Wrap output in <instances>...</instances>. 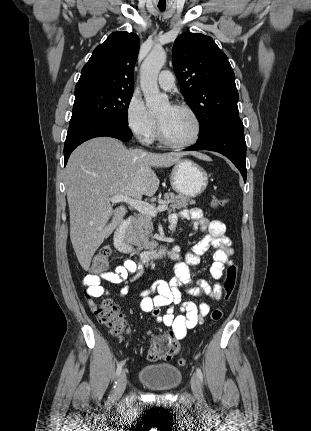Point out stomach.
Returning <instances> with one entry per match:
<instances>
[{
	"label": "stomach",
	"mask_w": 311,
	"mask_h": 431,
	"mask_svg": "<svg viewBox=\"0 0 311 431\" xmlns=\"http://www.w3.org/2000/svg\"><path fill=\"white\" fill-rule=\"evenodd\" d=\"M208 178L204 168L193 160H179L170 174V184L178 196L197 198L205 192Z\"/></svg>",
	"instance_id": "obj_1"
}]
</instances>
